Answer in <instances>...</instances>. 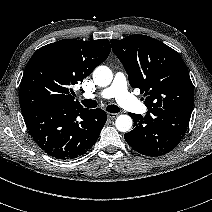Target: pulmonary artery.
<instances>
[{"label": "pulmonary artery", "instance_id": "pulmonary-artery-1", "mask_svg": "<svg viewBox=\"0 0 212 212\" xmlns=\"http://www.w3.org/2000/svg\"><path fill=\"white\" fill-rule=\"evenodd\" d=\"M87 99H110L115 98L120 106L134 113H145L147 107L136 99L127 90V81L123 73L117 72L114 76L112 84L98 93H84Z\"/></svg>", "mask_w": 212, "mask_h": 212}]
</instances>
